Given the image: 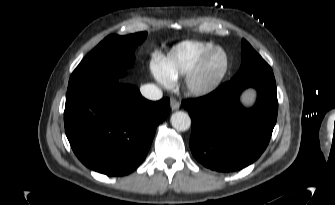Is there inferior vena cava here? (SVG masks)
<instances>
[{
    "instance_id": "602c4592",
    "label": "inferior vena cava",
    "mask_w": 335,
    "mask_h": 205,
    "mask_svg": "<svg viewBox=\"0 0 335 205\" xmlns=\"http://www.w3.org/2000/svg\"><path fill=\"white\" fill-rule=\"evenodd\" d=\"M141 94L149 100H160L163 93L160 88L154 84H145L140 87Z\"/></svg>"
}]
</instances>
